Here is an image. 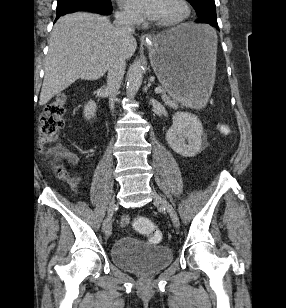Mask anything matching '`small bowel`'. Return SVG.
I'll list each match as a JSON object with an SVG mask.
<instances>
[{
    "mask_svg": "<svg viewBox=\"0 0 286 308\" xmlns=\"http://www.w3.org/2000/svg\"><path fill=\"white\" fill-rule=\"evenodd\" d=\"M79 180H80L79 176H75L71 179L70 186L74 192L77 191ZM128 220H129L128 217H125L122 223L126 225L128 223Z\"/></svg>",
    "mask_w": 286,
    "mask_h": 308,
    "instance_id": "obj_1",
    "label": "small bowel"
}]
</instances>
